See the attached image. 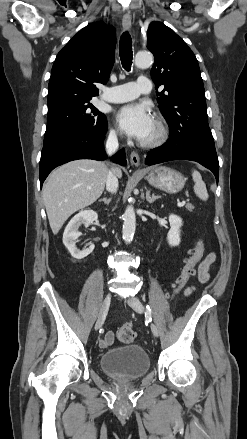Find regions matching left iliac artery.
I'll return each mask as SVG.
<instances>
[{
  "label": "left iliac artery",
  "instance_id": "1",
  "mask_svg": "<svg viewBox=\"0 0 247 439\" xmlns=\"http://www.w3.org/2000/svg\"><path fill=\"white\" fill-rule=\"evenodd\" d=\"M145 316L147 317V319L149 321H152V314H151V308L150 306H146V312H145Z\"/></svg>",
  "mask_w": 247,
  "mask_h": 439
}]
</instances>
